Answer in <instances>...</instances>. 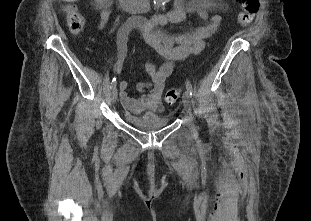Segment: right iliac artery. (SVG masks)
Masks as SVG:
<instances>
[{
  "instance_id": "82829eb1",
  "label": "right iliac artery",
  "mask_w": 311,
  "mask_h": 221,
  "mask_svg": "<svg viewBox=\"0 0 311 221\" xmlns=\"http://www.w3.org/2000/svg\"><path fill=\"white\" fill-rule=\"evenodd\" d=\"M116 84H117V80H116V77H114L111 82V88L116 87Z\"/></svg>"
}]
</instances>
